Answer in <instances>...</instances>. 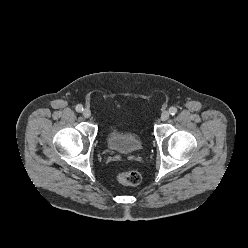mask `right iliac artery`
Listing matches in <instances>:
<instances>
[{
    "label": "right iliac artery",
    "mask_w": 248,
    "mask_h": 248,
    "mask_svg": "<svg viewBox=\"0 0 248 248\" xmlns=\"http://www.w3.org/2000/svg\"><path fill=\"white\" fill-rule=\"evenodd\" d=\"M76 111H77V112H82V111H83V106H82L81 104H78V105L76 106Z\"/></svg>",
    "instance_id": "right-iliac-artery-1"
}]
</instances>
